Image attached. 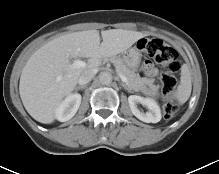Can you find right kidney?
I'll use <instances>...</instances> for the list:
<instances>
[{
	"label": "right kidney",
	"mask_w": 219,
	"mask_h": 174,
	"mask_svg": "<svg viewBox=\"0 0 219 174\" xmlns=\"http://www.w3.org/2000/svg\"><path fill=\"white\" fill-rule=\"evenodd\" d=\"M81 98L78 93L68 95L56 108L55 118L58 121L66 122L74 117L81 104Z\"/></svg>",
	"instance_id": "ca27d5eb"
}]
</instances>
